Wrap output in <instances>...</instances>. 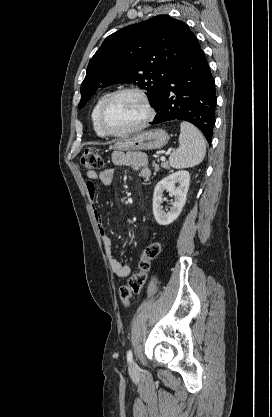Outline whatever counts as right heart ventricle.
Listing matches in <instances>:
<instances>
[{"instance_id": "e07e8e85", "label": "right heart ventricle", "mask_w": 272, "mask_h": 417, "mask_svg": "<svg viewBox=\"0 0 272 417\" xmlns=\"http://www.w3.org/2000/svg\"><path fill=\"white\" fill-rule=\"evenodd\" d=\"M108 93H105L103 95H101L98 100L96 101L92 113H91V120H92V125H93V129L96 132V134L100 137H103L104 134L101 132L100 128H99V124H98V114H99V110L101 105L103 104L104 100L108 97Z\"/></svg>"}]
</instances>
